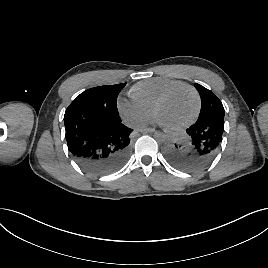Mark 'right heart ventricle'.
<instances>
[{
    "label": "right heart ventricle",
    "instance_id": "e07e8e85",
    "mask_svg": "<svg viewBox=\"0 0 268 268\" xmlns=\"http://www.w3.org/2000/svg\"><path fill=\"white\" fill-rule=\"evenodd\" d=\"M182 83L179 80L164 77H155L142 80L134 84L130 89L131 99L153 111L158 99L171 87Z\"/></svg>",
    "mask_w": 268,
    "mask_h": 268
}]
</instances>
